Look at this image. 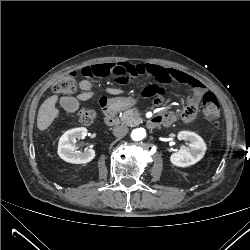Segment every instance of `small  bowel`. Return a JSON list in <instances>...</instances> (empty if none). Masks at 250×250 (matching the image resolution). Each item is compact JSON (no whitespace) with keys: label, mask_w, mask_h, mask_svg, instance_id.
<instances>
[{"label":"small bowel","mask_w":250,"mask_h":250,"mask_svg":"<svg viewBox=\"0 0 250 250\" xmlns=\"http://www.w3.org/2000/svg\"><path fill=\"white\" fill-rule=\"evenodd\" d=\"M145 67L149 73L159 78V82L161 84H175L178 86L190 85L192 93L196 100L201 99L205 94V90L201 85V83H199L197 80L193 79L192 77L186 74L172 70H166L156 65H147ZM163 100H164V94L160 90L159 94L156 96L154 100L155 106L161 105L163 103ZM197 113H198V103L197 101H194L185 108L182 117L187 121H192L196 117ZM157 116L161 119V122L164 124L165 127L172 126L175 121V116L171 112Z\"/></svg>","instance_id":"obj_1"}]
</instances>
